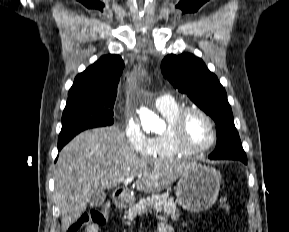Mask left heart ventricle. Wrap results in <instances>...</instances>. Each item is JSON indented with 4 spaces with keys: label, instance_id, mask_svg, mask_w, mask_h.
Returning <instances> with one entry per match:
<instances>
[{
    "label": "left heart ventricle",
    "instance_id": "obj_1",
    "mask_svg": "<svg viewBox=\"0 0 289 232\" xmlns=\"http://www.w3.org/2000/svg\"><path fill=\"white\" fill-rule=\"evenodd\" d=\"M185 136L194 146L207 144L211 139V129L208 122L198 113L191 112L185 121Z\"/></svg>",
    "mask_w": 289,
    "mask_h": 232
}]
</instances>
